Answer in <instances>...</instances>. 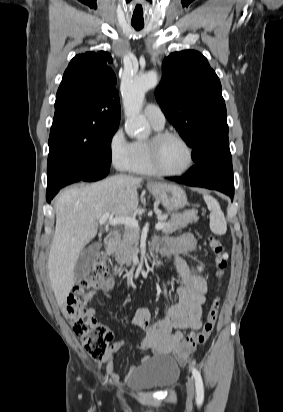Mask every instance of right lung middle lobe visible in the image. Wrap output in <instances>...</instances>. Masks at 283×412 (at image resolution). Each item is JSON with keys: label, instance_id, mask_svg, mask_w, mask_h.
<instances>
[{"label": "right lung middle lobe", "instance_id": "1", "mask_svg": "<svg viewBox=\"0 0 283 412\" xmlns=\"http://www.w3.org/2000/svg\"><path fill=\"white\" fill-rule=\"evenodd\" d=\"M117 129H101L78 115L53 119L48 141L47 172L61 167L111 163V140Z\"/></svg>", "mask_w": 283, "mask_h": 412}]
</instances>
